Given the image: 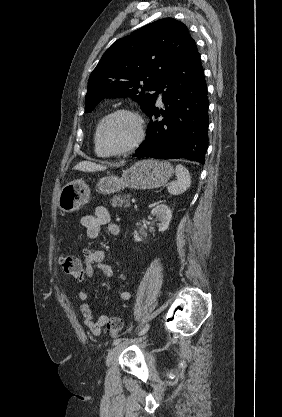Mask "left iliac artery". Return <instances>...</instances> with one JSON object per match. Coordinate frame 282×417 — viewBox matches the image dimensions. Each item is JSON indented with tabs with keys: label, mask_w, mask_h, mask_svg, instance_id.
<instances>
[{
	"label": "left iliac artery",
	"mask_w": 282,
	"mask_h": 417,
	"mask_svg": "<svg viewBox=\"0 0 282 417\" xmlns=\"http://www.w3.org/2000/svg\"><path fill=\"white\" fill-rule=\"evenodd\" d=\"M149 329V324H146V326L141 330L140 335H143L144 333H146ZM123 339L122 338H117L113 341V345H117L118 343H120Z\"/></svg>",
	"instance_id": "44dca946"
}]
</instances>
